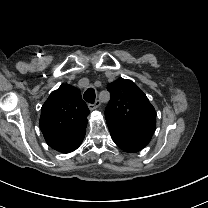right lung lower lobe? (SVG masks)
Here are the masks:
<instances>
[{
  "instance_id": "obj_1",
  "label": "right lung lower lobe",
  "mask_w": 208,
  "mask_h": 208,
  "mask_svg": "<svg viewBox=\"0 0 208 208\" xmlns=\"http://www.w3.org/2000/svg\"><path fill=\"white\" fill-rule=\"evenodd\" d=\"M85 131L81 132L80 134H78L77 136L73 137L70 140L61 142V143H57L55 145H52L51 147L61 153H69L74 151L75 149H77L80 144L82 143L84 136H85Z\"/></svg>"
}]
</instances>
